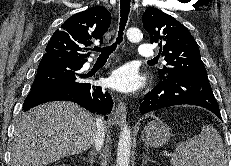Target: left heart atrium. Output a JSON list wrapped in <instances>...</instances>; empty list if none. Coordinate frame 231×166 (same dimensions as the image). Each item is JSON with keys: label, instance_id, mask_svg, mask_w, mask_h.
I'll return each mask as SVG.
<instances>
[{"label": "left heart atrium", "instance_id": "1", "mask_svg": "<svg viewBox=\"0 0 231 166\" xmlns=\"http://www.w3.org/2000/svg\"><path fill=\"white\" fill-rule=\"evenodd\" d=\"M109 82L113 88L131 93L141 88L143 78L134 66L125 65L112 72Z\"/></svg>", "mask_w": 231, "mask_h": 166}]
</instances>
